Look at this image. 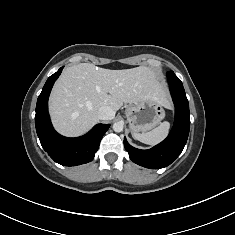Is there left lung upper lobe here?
I'll list each match as a JSON object with an SVG mask.
<instances>
[{
    "label": "left lung upper lobe",
    "instance_id": "obj_1",
    "mask_svg": "<svg viewBox=\"0 0 235 235\" xmlns=\"http://www.w3.org/2000/svg\"><path fill=\"white\" fill-rule=\"evenodd\" d=\"M167 73H173L172 71H170V72H167Z\"/></svg>",
    "mask_w": 235,
    "mask_h": 235
}]
</instances>
